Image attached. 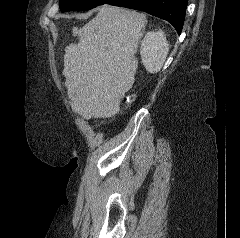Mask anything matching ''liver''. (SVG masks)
Wrapping results in <instances>:
<instances>
[{
  "label": "liver",
  "instance_id": "1",
  "mask_svg": "<svg viewBox=\"0 0 240 238\" xmlns=\"http://www.w3.org/2000/svg\"><path fill=\"white\" fill-rule=\"evenodd\" d=\"M146 17L104 5L82 28L73 27L78 44L65 48V86L72 110L85 119L113 117L134 83L135 53Z\"/></svg>",
  "mask_w": 240,
  "mask_h": 238
}]
</instances>
